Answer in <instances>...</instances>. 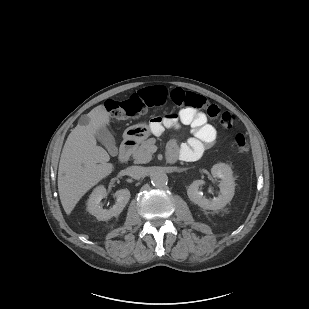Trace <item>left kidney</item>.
<instances>
[{
  "mask_svg": "<svg viewBox=\"0 0 309 309\" xmlns=\"http://www.w3.org/2000/svg\"><path fill=\"white\" fill-rule=\"evenodd\" d=\"M211 174L214 178H220L219 183L220 195L211 200L203 196L200 187L205 184L203 180H195L187 189L189 199L206 210H218L226 206L233 196L235 190V182L232 169L225 163H217L211 168Z\"/></svg>",
  "mask_w": 309,
  "mask_h": 309,
  "instance_id": "5707ae66",
  "label": "left kidney"
}]
</instances>
